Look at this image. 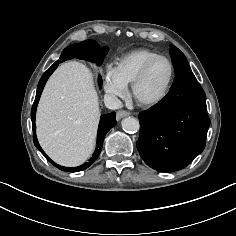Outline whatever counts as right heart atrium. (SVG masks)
Instances as JSON below:
<instances>
[{"mask_svg": "<svg viewBox=\"0 0 236 236\" xmlns=\"http://www.w3.org/2000/svg\"><path fill=\"white\" fill-rule=\"evenodd\" d=\"M103 89L112 98L123 96L127 90L126 86L117 79L112 68H107L104 72Z\"/></svg>", "mask_w": 236, "mask_h": 236, "instance_id": "obj_1", "label": "right heart atrium"}]
</instances>
